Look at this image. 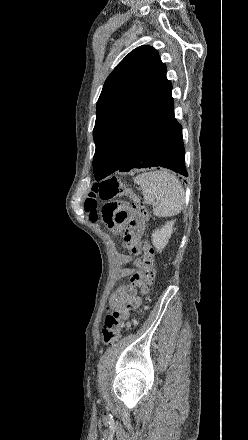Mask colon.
I'll list each match as a JSON object with an SVG mask.
<instances>
[{
    "mask_svg": "<svg viewBox=\"0 0 248 440\" xmlns=\"http://www.w3.org/2000/svg\"><path fill=\"white\" fill-rule=\"evenodd\" d=\"M120 195L128 196L131 199L130 205H127L128 209L124 208V204L115 200ZM100 202H103L100 211L101 217L111 228L117 227L124 231L130 223H145L149 216L141 195L123 184L117 177H111L92 186L84 201V207L89 213L90 219L98 218ZM141 249L143 253L141 276L147 285H152L155 280L154 249L147 241L142 242ZM136 281L137 278L130 280L132 285H135ZM144 309L145 307L142 308V310ZM135 324V319L122 322L116 310L109 312L102 329L104 343L108 345L115 343L121 338L123 330Z\"/></svg>",
    "mask_w": 248,
    "mask_h": 440,
    "instance_id": "colon-1",
    "label": "colon"
}]
</instances>
